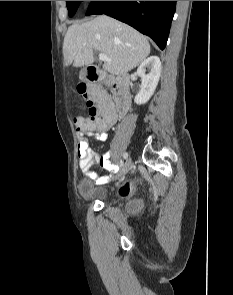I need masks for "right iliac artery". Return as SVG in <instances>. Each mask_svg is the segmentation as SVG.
I'll return each instance as SVG.
<instances>
[{"instance_id":"right-iliac-artery-1","label":"right iliac artery","mask_w":233,"mask_h":295,"mask_svg":"<svg viewBox=\"0 0 233 295\" xmlns=\"http://www.w3.org/2000/svg\"><path fill=\"white\" fill-rule=\"evenodd\" d=\"M123 157L126 159L128 157V153H124Z\"/></svg>"}]
</instances>
